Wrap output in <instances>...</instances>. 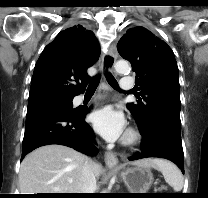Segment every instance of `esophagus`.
Returning a JSON list of instances; mask_svg holds the SVG:
<instances>
[{
    "mask_svg": "<svg viewBox=\"0 0 208 198\" xmlns=\"http://www.w3.org/2000/svg\"><path fill=\"white\" fill-rule=\"evenodd\" d=\"M117 54L115 50L110 49L107 53L103 55L102 58V73H103V81H105V73L107 71L113 70ZM105 163L109 167H116L118 165V158L113 152H106L105 154Z\"/></svg>",
    "mask_w": 208,
    "mask_h": 198,
    "instance_id": "obj_1",
    "label": "esophagus"
}]
</instances>
